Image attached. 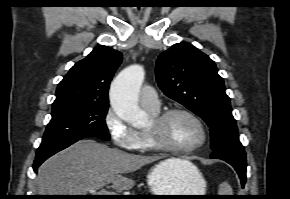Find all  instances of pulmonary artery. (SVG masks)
<instances>
[{"label": "pulmonary artery", "mask_w": 290, "mask_h": 199, "mask_svg": "<svg viewBox=\"0 0 290 199\" xmlns=\"http://www.w3.org/2000/svg\"><path fill=\"white\" fill-rule=\"evenodd\" d=\"M139 102L141 106L148 110H159L160 101L156 90L150 86L145 85L142 87L139 93Z\"/></svg>", "instance_id": "e3ab8cb5"}]
</instances>
